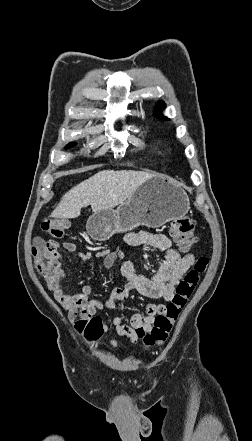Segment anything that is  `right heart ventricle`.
Here are the masks:
<instances>
[{
  "instance_id": "1",
  "label": "right heart ventricle",
  "mask_w": 252,
  "mask_h": 441,
  "mask_svg": "<svg viewBox=\"0 0 252 441\" xmlns=\"http://www.w3.org/2000/svg\"><path fill=\"white\" fill-rule=\"evenodd\" d=\"M157 154H161V150L159 148H155Z\"/></svg>"
}]
</instances>
